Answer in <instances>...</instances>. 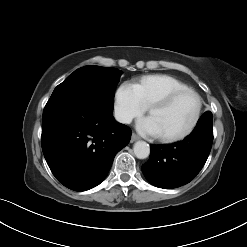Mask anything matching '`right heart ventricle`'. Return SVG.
I'll use <instances>...</instances> for the list:
<instances>
[{"label": "right heart ventricle", "mask_w": 247, "mask_h": 247, "mask_svg": "<svg viewBox=\"0 0 247 247\" xmlns=\"http://www.w3.org/2000/svg\"><path fill=\"white\" fill-rule=\"evenodd\" d=\"M144 107H149L165 94L189 88L177 78L166 74H153L140 78L134 83Z\"/></svg>", "instance_id": "obj_1"}]
</instances>
